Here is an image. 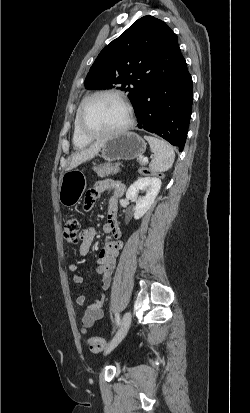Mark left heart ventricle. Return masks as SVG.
I'll use <instances>...</instances> for the list:
<instances>
[{
	"label": "left heart ventricle",
	"mask_w": 250,
	"mask_h": 413,
	"mask_svg": "<svg viewBox=\"0 0 250 413\" xmlns=\"http://www.w3.org/2000/svg\"><path fill=\"white\" fill-rule=\"evenodd\" d=\"M127 121L124 104L113 96H99L89 105L85 114L86 127L97 133L114 131Z\"/></svg>",
	"instance_id": "left-heart-ventricle-1"
}]
</instances>
